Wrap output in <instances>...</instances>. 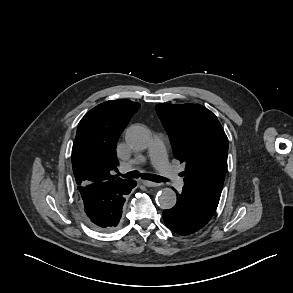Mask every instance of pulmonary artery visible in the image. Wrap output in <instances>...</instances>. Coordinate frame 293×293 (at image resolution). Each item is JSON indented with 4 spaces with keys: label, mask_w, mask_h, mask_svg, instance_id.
<instances>
[{
    "label": "pulmonary artery",
    "mask_w": 293,
    "mask_h": 293,
    "mask_svg": "<svg viewBox=\"0 0 293 293\" xmlns=\"http://www.w3.org/2000/svg\"><path fill=\"white\" fill-rule=\"evenodd\" d=\"M148 151L153 164L159 171L160 175L170 180L178 189H181L183 181L178 177L176 171L167 160L164 140L161 136L156 135L153 138ZM138 161H141V159ZM131 168V164H123L120 166V171L126 172Z\"/></svg>",
    "instance_id": "e3ab8cb5"
}]
</instances>
